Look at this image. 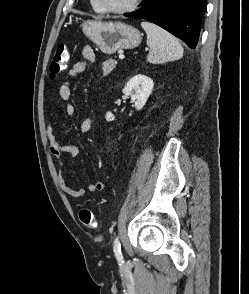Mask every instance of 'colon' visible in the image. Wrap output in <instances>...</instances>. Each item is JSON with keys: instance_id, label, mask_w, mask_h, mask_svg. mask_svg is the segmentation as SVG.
<instances>
[{"instance_id": "1", "label": "colon", "mask_w": 249, "mask_h": 294, "mask_svg": "<svg viewBox=\"0 0 249 294\" xmlns=\"http://www.w3.org/2000/svg\"><path fill=\"white\" fill-rule=\"evenodd\" d=\"M69 58L68 47L64 44H60L53 55L50 63L49 72L50 76L55 78L60 75L66 68ZM80 222L88 228H95L97 221L94 213L88 208H82L79 210Z\"/></svg>"}]
</instances>
